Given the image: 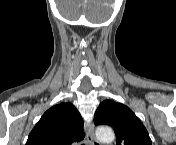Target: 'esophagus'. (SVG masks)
Segmentation results:
<instances>
[{
	"instance_id": "1",
	"label": "esophagus",
	"mask_w": 176,
	"mask_h": 145,
	"mask_svg": "<svg viewBox=\"0 0 176 145\" xmlns=\"http://www.w3.org/2000/svg\"><path fill=\"white\" fill-rule=\"evenodd\" d=\"M88 145H100L95 137L94 126L91 123L85 124Z\"/></svg>"
}]
</instances>
